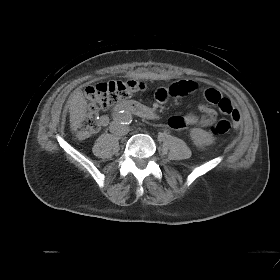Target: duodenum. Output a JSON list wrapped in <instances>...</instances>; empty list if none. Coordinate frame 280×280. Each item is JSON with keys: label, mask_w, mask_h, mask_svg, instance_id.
<instances>
[{"label": "duodenum", "mask_w": 280, "mask_h": 280, "mask_svg": "<svg viewBox=\"0 0 280 280\" xmlns=\"http://www.w3.org/2000/svg\"><path fill=\"white\" fill-rule=\"evenodd\" d=\"M120 112L133 113L135 115H138V116L146 118V119H156L157 118V114L153 109H151L147 106H144L136 101H125V102L118 104L114 108L113 113H114V115H117Z\"/></svg>", "instance_id": "duodenum-1"}]
</instances>
